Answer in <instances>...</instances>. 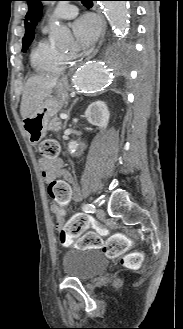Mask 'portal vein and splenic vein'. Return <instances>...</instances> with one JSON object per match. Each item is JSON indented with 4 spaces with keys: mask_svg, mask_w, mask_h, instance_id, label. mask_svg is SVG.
<instances>
[{
    "mask_svg": "<svg viewBox=\"0 0 183 329\" xmlns=\"http://www.w3.org/2000/svg\"><path fill=\"white\" fill-rule=\"evenodd\" d=\"M60 118H61V119H67V118H68V115H66V114H61V115H60Z\"/></svg>",
    "mask_w": 183,
    "mask_h": 329,
    "instance_id": "1",
    "label": "portal vein and splenic vein"
}]
</instances>
